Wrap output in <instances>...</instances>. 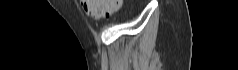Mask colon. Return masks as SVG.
<instances>
[{"label":"colon","instance_id":"obj_1","mask_svg":"<svg viewBox=\"0 0 238 70\" xmlns=\"http://www.w3.org/2000/svg\"><path fill=\"white\" fill-rule=\"evenodd\" d=\"M122 0H82L84 10L93 18L109 17L113 12H120Z\"/></svg>","mask_w":238,"mask_h":70}]
</instances>
